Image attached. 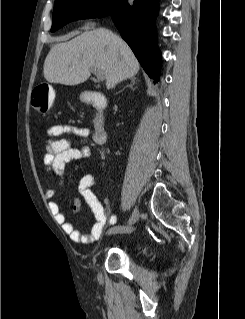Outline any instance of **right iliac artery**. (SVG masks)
Masks as SVG:
<instances>
[{
	"instance_id": "right-iliac-artery-1",
	"label": "right iliac artery",
	"mask_w": 245,
	"mask_h": 319,
	"mask_svg": "<svg viewBox=\"0 0 245 319\" xmlns=\"http://www.w3.org/2000/svg\"><path fill=\"white\" fill-rule=\"evenodd\" d=\"M128 226H115V227H112L110 230H109V234H112V233H119V232H124V231H127L128 232ZM131 230L129 229V232Z\"/></svg>"
}]
</instances>
